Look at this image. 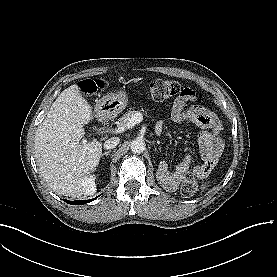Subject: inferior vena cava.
Instances as JSON below:
<instances>
[{
  "label": "inferior vena cava",
  "instance_id": "602c4592",
  "mask_svg": "<svg viewBox=\"0 0 277 277\" xmlns=\"http://www.w3.org/2000/svg\"><path fill=\"white\" fill-rule=\"evenodd\" d=\"M120 142V139L119 137H112V138H109L108 140H106L104 142V148L105 149H113L115 148Z\"/></svg>",
  "mask_w": 277,
  "mask_h": 277
}]
</instances>
